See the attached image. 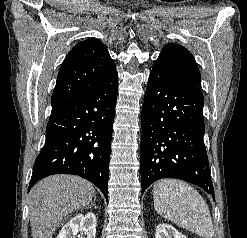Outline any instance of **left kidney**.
Segmentation results:
<instances>
[{"label": "left kidney", "instance_id": "5707ae66", "mask_svg": "<svg viewBox=\"0 0 247 238\" xmlns=\"http://www.w3.org/2000/svg\"><path fill=\"white\" fill-rule=\"evenodd\" d=\"M155 238H186L182 233L172 225L159 224L156 227Z\"/></svg>", "mask_w": 247, "mask_h": 238}]
</instances>
